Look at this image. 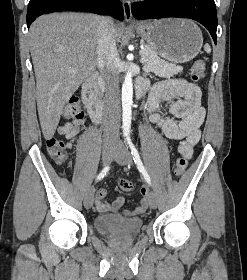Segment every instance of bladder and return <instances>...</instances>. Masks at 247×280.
I'll return each instance as SVG.
<instances>
[{
	"mask_svg": "<svg viewBox=\"0 0 247 280\" xmlns=\"http://www.w3.org/2000/svg\"><path fill=\"white\" fill-rule=\"evenodd\" d=\"M143 225L144 222L140 218H127L119 215H99L94 219V226L98 232L118 238L139 234Z\"/></svg>",
	"mask_w": 247,
	"mask_h": 280,
	"instance_id": "1",
	"label": "bladder"
}]
</instances>
